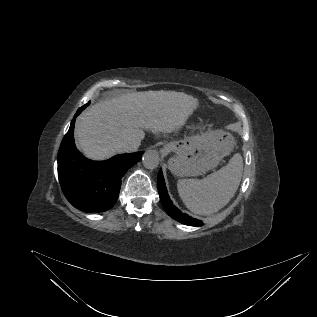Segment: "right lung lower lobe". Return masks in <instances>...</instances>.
<instances>
[{"mask_svg": "<svg viewBox=\"0 0 317 317\" xmlns=\"http://www.w3.org/2000/svg\"><path fill=\"white\" fill-rule=\"evenodd\" d=\"M88 104L75 114L58 152V178L67 200L77 209L102 212L117 201L121 178L143 152L117 155L107 161L94 162L82 156L74 143L76 117Z\"/></svg>", "mask_w": 317, "mask_h": 317, "instance_id": "98d812e1", "label": "right lung lower lobe"}]
</instances>
